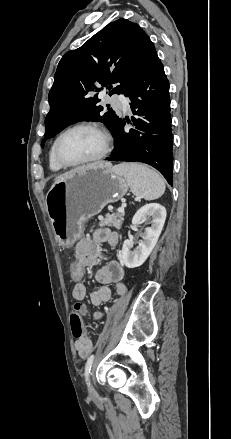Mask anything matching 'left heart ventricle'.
I'll return each mask as SVG.
<instances>
[{
  "label": "left heart ventricle",
  "mask_w": 231,
  "mask_h": 439,
  "mask_svg": "<svg viewBox=\"0 0 231 439\" xmlns=\"http://www.w3.org/2000/svg\"><path fill=\"white\" fill-rule=\"evenodd\" d=\"M103 148L102 136L91 129H78L68 133L61 141L62 156L70 162H78L97 155Z\"/></svg>",
  "instance_id": "b2bd125f"
}]
</instances>
